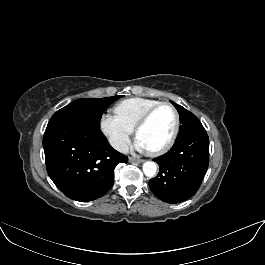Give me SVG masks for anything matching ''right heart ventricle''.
<instances>
[{
  "label": "right heart ventricle",
  "instance_id": "obj_1",
  "mask_svg": "<svg viewBox=\"0 0 265 265\" xmlns=\"http://www.w3.org/2000/svg\"><path fill=\"white\" fill-rule=\"evenodd\" d=\"M161 103L158 100L134 97L125 99L114 107V113L118 116L127 126L134 129L136 123L141 116L151 107Z\"/></svg>",
  "mask_w": 265,
  "mask_h": 265
}]
</instances>
